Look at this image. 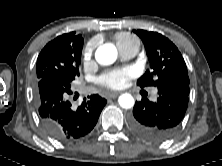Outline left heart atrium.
I'll list each match as a JSON object with an SVG mask.
<instances>
[{"label": "left heart atrium", "instance_id": "left-heart-atrium-1", "mask_svg": "<svg viewBox=\"0 0 222 166\" xmlns=\"http://www.w3.org/2000/svg\"><path fill=\"white\" fill-rule=\"evenodd\" d=\"M132 76L133 72L131 69H118L102 75L99 78V82L105 87L119 89L122 88Z\"/></svg>", "mask_w": 222, "mask_h": 166}]
</instances>
